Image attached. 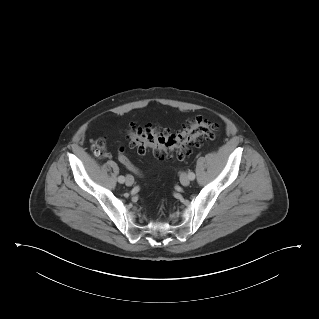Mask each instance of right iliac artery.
Instances as JSON below:
<instances>
[{"label": "right iliac artery", "instance_id": "82829eb1", "mask_svg": "<svg viewBox=\"0 0 319 319\" xmlns=\"http://www.w3.org/2000/svg\"><path fill=\"white\" fill-rule=\"evenodd\" d=\"M118 182H119V183H124V182H125L124 176H119V177H118Z\"/></svg>", "mask_w": 319, "mask_h": 319}]
</instances>
